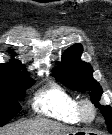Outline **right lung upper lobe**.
<instances>
[{
    "label": "right lung upper lobe",
    "mask_w": 112,
    "mask_h": 135,
    "mask_svg": "<svg viewBox=\"0 0 112 135\" xmlns=\"http://www.w3.org/2000/svg\"><path fill=\"white\" fill-rule=\"evenodd\" d=\"M22 64L18 60H14L12 63L0 64V79L9 76H22L26 79H31L27 72H21Z\"/></svg>",
    "instance_id": "1"
}]
</instances>
